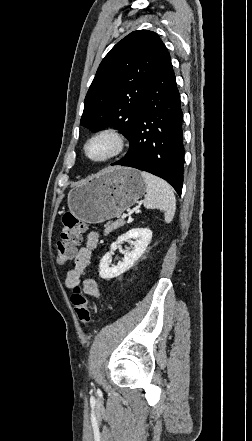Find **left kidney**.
I'll use <instances>...</instances> for the list:
<instances>
[{
    "label": "left kidney",
    "instance_id": "obj_1",
    "mask_svg": "<svg viewBox=\"0 0 252 441\" xmlns=\"http://www.w3.org/2000/svg\"><path fill=\"white\" fill-rule=\"evenodd\" d=\"M134 239V240H132ZM152 239V231L148 228H133L125 234L118 237L116 242L110 246V252L106 253L99 264V276L108 280L117 277L126 272L145 252ZM131 240L132 250L124 252V259L117 266L110 267L109 260L111 253L123 241Z\"/></svg>",
    "mask_w": 252,
    "mask_h": 441
}]
</instances>
